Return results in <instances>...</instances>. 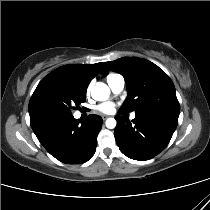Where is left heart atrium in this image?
Returning a JSON list of instances; mask_svg holds the SVG:
<instances>
[{
	"label": "left heart atrium",
	"instance_id": "39dd6f15",
	"mask_svg": "<svg viewBox=\"0 0 210 210\" xmlns=\"http://www.w3.org/2000/svg\"><path fill=\"white\" fill-rule=\"evenodd\" d=\"M95 109L101 113H111L114 109V104L112 102H104L96 106Z\"/></svg>",
	"mask_w": 210,
	"mask_h": 210
}]
</instances>
